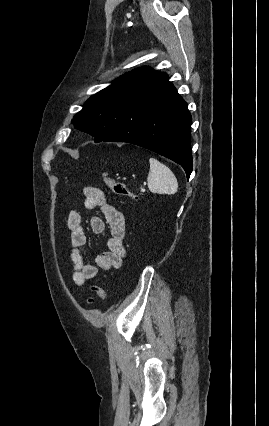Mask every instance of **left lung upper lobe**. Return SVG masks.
<instances>
[{
    "mask_svg": "<svg viewBox=\"0 0 269 426\" xmlns=\"http://www.w3.org/2000/svg\"><path fill=\"white\" fill-rule=\"evenodd\" d=\"M160 73L148 67L126 73L88 99L83 109L74 116L72 123L79 130L94 136L96 143L103 141L118 125L121 113L132 96L153 82Z\"/></svg>",
    "mask_w": 269,
    "mask_h": 426,
    "instance_id": "1",
    "label": "left lung upper lobe"
}]
</instances>
